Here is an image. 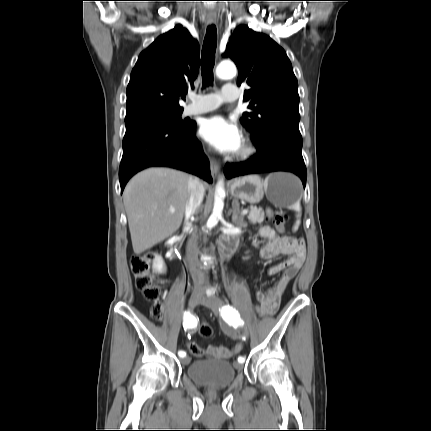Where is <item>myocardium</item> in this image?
Returning a JSON list of instances; mask_svg holds the SVG:
<instances>
[{"label":"myocardium","instance_id":"myocardium-1","mask_svg":"<svg viewBox=\"0 0 431 431\" xmlns=\"http://www.w3.org/2000/svg\"><path fill=\"white\" fill-rule=\"evenodd\" d=\"M256 153V147L251 139L246 138L242 142L240 149L236 154V159L243 161L251 158Z\"/></svg>","mask_w":431,"mask_h":431}]
</instances>
